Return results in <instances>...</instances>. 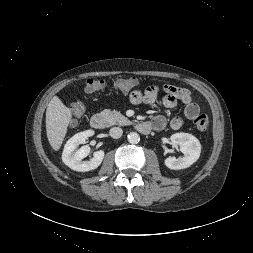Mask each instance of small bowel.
I'll return each mask as SVG.
<instances>
[{"label": "small bowel", "instance_id": "c3829d8e", "mask_svg": "<svg viewBox=\"0 0 253 253\" xmlns=\"http://www.w3.org/2000/svg\"><path fill=\"white\" fill-rule=\"evenodd\" d=\"M161 90L165 93V96L162 98V104L165 108L170 110L174 109L178 102H181L184 105V114L186 118L193 120L199 115L200 108L193 100L191 92L185 88L174 85L167 84L162 87L151 85L147 87L144 92L133 90L129 98L133 104H152L158 99ZM150 123H152L153 129L162 130L167 125V119L162 115H158L154 117ZM169 125L171 129L177 131L182 127L183 120L180 117H173L169 121Z\"/></svg>", "mask_w": 253, "mask_h": 253}]
</instances>
